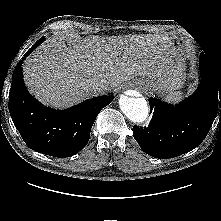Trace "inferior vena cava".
Here are the masks:
<instances>
[{
  "label": "inferior vena cava",
  "instance_id": "602c4592",
  "mask_svg": "<svg viewBox=\"0 0 221 221\" xmlns=\"http://www.w3.org/2000/svg\"><path fill=\"white\" fill-rule=\"evenodd\" d=\"M92 90L96 94H104L106 91L110 90V85L105 80H100L92 85Z\"/></svg>",
  "mask_w": 221,
  "mask_h": 221
}]
</instances>
